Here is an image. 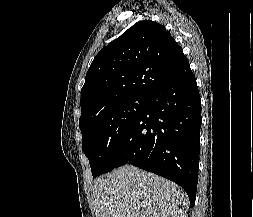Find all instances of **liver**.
I'll return each instance as SVG.
<instances>
[{
	"label": "liver",
	"mask_w": 253,
	"mask_h": 217,
	"mask_svg": "<svg viewBox=\"0 0 253 217\" xmlns=\"http://www.w3.org/2000/svg\"><path fill=\"white\" fill-rule=\"evenodd\" d=\"M96 217H187L189 199L173 182L132 165L94 181Z\"/></svg>",
	"instance_id": "6515ba94"
}]
</instances>
